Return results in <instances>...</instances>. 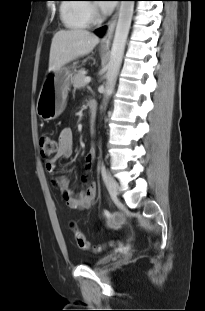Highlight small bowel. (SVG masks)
Returning a JSON list of instances; mask_svg holds the SVG:
<instances>
[{"mask_svg": "<svg viewBox=\"0 0 205 311\" xmlns=\"http://www.w3.org/2000/svg\"><path fill=\"white\" fill-rule=\"evenodd\" d=\"M73 132L70 128H64L59 134V149L55 155L45 161V167L48 173H56V162L59 159H69L73 155ZM96 158L95 148H90L85 156L86 170L90 171ZM82 180L86 183V188L79 194L74 193L69 188L68 179L63 176H56L53 179L54 186L58 189L61 198L71 209H85L90 207L96 196L97 187L94 181L88 176H83Z\"/></svg>", "mask_w": 205, "mask_h": 311, "instance_id": "small-bowel-1", "label": "small bowel"}]
</instances>
